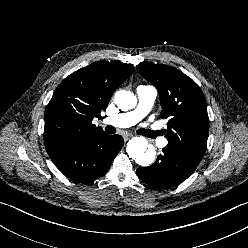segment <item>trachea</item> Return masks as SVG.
I'll return each mask as SVG.
<instances>
[{"label": "trachea", "instance_id": "3493384b", "mask_svg": "<svg viewBox=\"0 0 248 248\" xmlns=\"http://www.w3.org/2000/svg\"><path fill=\"white\" fill-rule=\"evenodd\" d=\"M106 131H107L108 133L112 134V133L115 132V128L112 127V126H108V127L106 128ZM144 132L147 134L148 137H154V136L158 135L157 132H150V131H145V130H144Z\"/></svg>", "mask_w": 248, "mask_h": 248}]
</instances>
